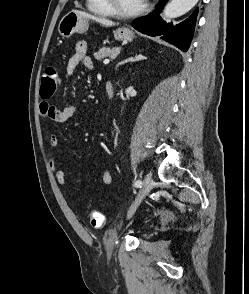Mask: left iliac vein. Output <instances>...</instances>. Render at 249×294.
I'll list each match as a JSON object with an SVG mask.
<instances>
[{"instance_id":"1","label":"left iliac vein","mask_w":249,"mask_h":294,"mask_svg":"<svg viewBox=\"0 0 249 294\" xmlns=\"http://www.w3.org/2000/svg\"><path fill=\"white\" fill-rule=\"evenodd\" d=\"M153 188V179L150 175H146L144 179V185L143 188L141 189L140 193L138 194L134 204L132 205L130 211H129V216H132L138 205L141 203V201L148 195V193L152 190Z\"/></svg>"}]
</instances>
